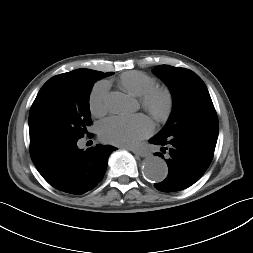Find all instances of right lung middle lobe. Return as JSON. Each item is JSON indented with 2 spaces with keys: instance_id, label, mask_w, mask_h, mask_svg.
Segmentation results:
<instances>
[{
  "instance_id": "dd1d6c3e",
  "label": "right lung middle lobe",
  "mask_w": 253,
  "mask_h": 253,
  "mask_svg": "<svg viewBox=\"0 0 253 253\" xmlns=\"http://www.w3.org/2000/svg\"><path fill=\"white\" fill-rule=\"evenodd\" d=\"M113 74H60L40 89L29 113L34 164L77 142L91 125L89 94L94 83Z\"/></svg>"
}]
</instances>
